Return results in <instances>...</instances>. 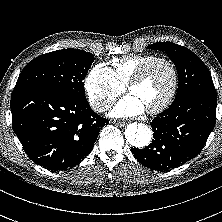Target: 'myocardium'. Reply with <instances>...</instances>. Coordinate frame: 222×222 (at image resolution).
Here are the masks:
<instances>
[{
	"label": "myocardium",
	"mask_w": 222,
	"mask_h": 222,
	"mask_svg": "<svg viewBox=\"0 0 222 222\" xmlns=\"http://www.w3.org/2000/svg\"><path fill=\"white\" fill-rule=\"evenodd\" d=\"M157 63H163V64H165L166 66L169 67V69L172 73V84H171L170 91L167 94V96L165 97V99L160 104H158L157 106L146 110L150 114H156V113H159V112L165 110L170 105V103L172 102V100L174 99V97L177 93L178 84H179V74H178V69H177L175 63L173 61H171L170 59L165 58V57H154L151 60L142 64L135 71V73L130 77V79L128 80V82L126 84V89L128 91H130L131 87L133 85L138 84L139 82H141L142 79L144 78L145 74L147 73V71L154 64H157Z\"/></svg>",
	"instance_id": "1"
}]
</instances>
